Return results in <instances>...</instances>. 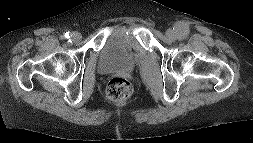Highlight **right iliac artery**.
Here are the masks:
<instances>
[{
    "label": "right iliac artery",
    "instance_id": "1",
    "mask_svg": "<svg viewBox=\"0 0 253 143\" xmlns=\"http://www.w3.org/2000/svg\"><path fill=\"white\" fill-rule=\"evenodd\" d=\"M64 36L66 37V38H69L70 36H69V32H66L65 34H64Z\"/></svg>",
    "mask_w": 253,
    "mask_h": 143
}]
</instances>
